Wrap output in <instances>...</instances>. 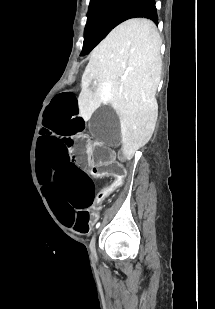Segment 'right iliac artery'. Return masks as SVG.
Instances as JSON below:
<instances>
[{
    "mask_svg": "<svg viewBox=\"0 0 215 309\" xmlns=\"http://www.w3.org/2000/svg\"><path fill=\"white\" fill-rule=\"evenodd\" d=\"M100 226V223H97L96 228H98Z\"/></svg>",
    "mask_w": 215,
    "mask_h": 309,
    "instance_id": "right-iliac-artery-1",
    "label": "right iliac artery"
}]
</instances>
